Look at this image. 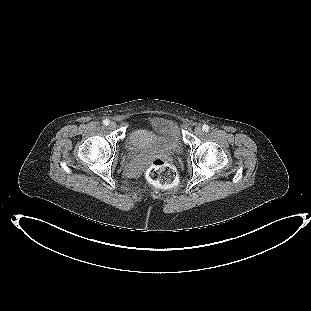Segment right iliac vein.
Masks as SVG:
<instances>
[{"instance_id":"1","label":"right iliac vein","mask_w":311,"mask_h":311,"mask_svg":"<svg viewBox=\"0 0 311 311\" xmlns=\"http://www.w3.org/2000/svg\"><path fill=\"white\" fill-rule=\"evenodd\" d=\"M116 126H117V125H116V123H115L114 121H112V122L109 123V128H110V129H115Z\"/></svg>"}]
</instances>
